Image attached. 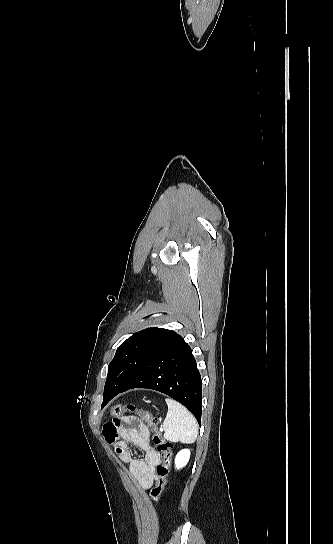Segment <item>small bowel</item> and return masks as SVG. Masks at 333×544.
<instances>
[{
    "label": "small bowel",
    "mask_w": 333,
    "mask_h": 544,
    "mask_svg": "<svg viewBox=\"0 0 333 544\" xmlns=\"http://www.w3.org/2000/svg\"><path fill=\"white\" fill-rule=\"evenodd\" d=\"M103 436L115 446L119 459L129 465L130 474L138 485L143 489L152 487L161 456L151 444L148 427L132 416H119L103 426ZM128 443L140 448L144 457L134 458Z\"/></svg>",
    "instance_id": "1"
}]
</instances>
